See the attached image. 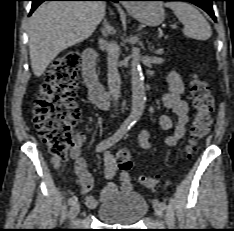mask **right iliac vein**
<instances>
[{"instance_id": "1", "label": "right iliac vein", "mask_w": 234, "mask_h": 231, "mask_svg": "<svg viewBox=\"0 0 234 231\" xmlns=\"http://www.w3.org/2000/svg\"><path fill=\"white\" fill-rule=\"evenodd\" d=\"M79 211H80V203L76 202L70 208L69 218L70 219L75 218L77 216V214L79 213Z\"/></svg>"}]
</instances>
